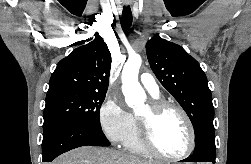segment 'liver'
I'll list each match as a JSON object with an SVG mask.
<instances>
[{
  "label": "liver",
  "instance_id": "liver-1",
  "mask_svg": "<svg viewBox=\"0 0 251 164\" xmlns=\"http://www.w3.org/2000/svg\"><path fill=\"white\" fill-rule=\"evenodd\" d=\"M51 164H155L108 148L84 146L58 157Z\"/></svg>",
  "mask_w": 251,
  "mask_h": 164
}]
</instances>
